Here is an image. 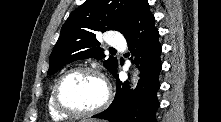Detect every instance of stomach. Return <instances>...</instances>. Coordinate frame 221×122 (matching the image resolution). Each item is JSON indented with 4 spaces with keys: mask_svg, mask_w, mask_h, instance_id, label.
Segmentation results:
<instances>
[{
    "mask_svg": "<svg viewBox=\"0 0 221 122\" xmlns=\"http://www.w3.org/2000/svg\"><path fill=\"white\" fill-rule=\"evenodd\" d=\"M80 122H99V121H95L93 119H86V120H82Z\"/></svg>",
    "mask_w": 221,
    "mask_h": 122,
    "instance_id": "obj_1",
    "label": "stomach"
}]
</instances>
